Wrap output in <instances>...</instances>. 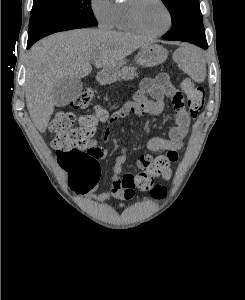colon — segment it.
I'll use <instances>...</instances> for the list:
<instances>
[{"label": "colon", "mask_w": 245, "mask_h": 300, "mask_svg": "<svg viewBox=\"0 0 245 300\" xmlns=\"http://www.w3.org/2000/svg\"><path fill=\"white\" fill-rule=\"evenodd\" d=\"M181 88L187 95L190 115L196 118L205 103L204 90L197 87L190 79L181 82ZM94 96L90 88L83 89L70 103L73 109L85 108ZM106 111L97 108L94 114L84 115L79 125L74 127L75 116L71 111H60L51 122V131L55 134L52 147L56 151L59 164L69 173L71 186L80 192L92 189L98 181L100 167L98 151L90 148V142L96 134L98 125L106 119ZM136 189L151 191L154 199H162L166 189H154L153 177L139 173L135 179Z\"/></svg>", "instance_id": "obj_1"}]
</instances>
